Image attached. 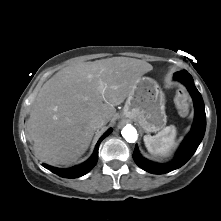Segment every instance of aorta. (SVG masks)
<instances>
[{"label":"aorta","mask_w":221,"mask_h":221,"mask_svg":"<svg viewBox=\"0 0 221 221\" xmlns=\"http://www.w3.org/2000/svg\"><path fill=\"white\" fill-rule=\"evenodd\" d=\"M121 134L123 138L129 143H134L138 138L137 130L130 124H127L122 129Z\"/></svg>","instance_id":"obj_1"}]
</instances>
